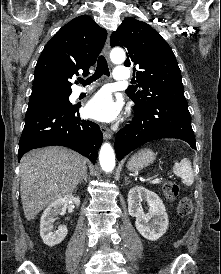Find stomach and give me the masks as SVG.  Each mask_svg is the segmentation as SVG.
Segmentation results:
<instances>
[{
  "mask_svg": "<svg viewBox=\"0 0 221 274\" xmlns=\"http://www.w3.org/2000/svg\"><path fill=\"white\" fill-rule=\"evenodd\" d=\"M155 160V154L150 149H142L134 154L127 163V168L132 172H137Z\"/></svg>",
  "mask_w": 221,
  "mask_h": 274,
  "instance_id": "obj_1",
  "label": "stomach"
}]
</instances>
